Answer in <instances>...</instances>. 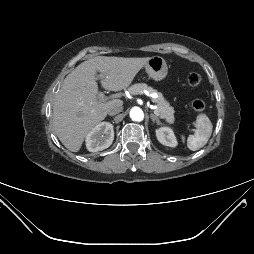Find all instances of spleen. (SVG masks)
<instances>
[{"mask_svg": "<svg viewBox=\"0 0 254 254\" xmlns=\"http://www.w3.org/2000/svg\"><path fill=\"white\" fill-rule=\"evenodd\" d=\"M195 127L194 135H190L187 139V146L192 151L202 148L208 142L213 130V125L206 114L197 116Z\"/></svg>", "mask_w": 254, "mask_h": 254, "instance_id": "spleen-1", "label": "spleen"}]
</instances>
